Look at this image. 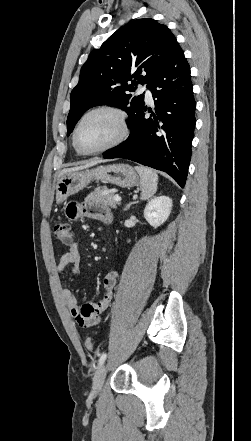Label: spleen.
Returning <instances> with one entry per match:
<instances>
[{
	"instance_id": "obj_1",
	"label": "spleen",
	"mask_w": 251,
	"mask_h": 441,
	"mask_svg": "<svg viewBox=\"0 0 251 441\" xmlns=\"http://www.w3.org/2000/svg\"><path fill=\"white\" fill-rule=\"evenodd\" d=\"M136 171L140 175L141 200H148L157 191L158 175L157 173L144 166H136Z\"/></svg>"
}]
</instances>
